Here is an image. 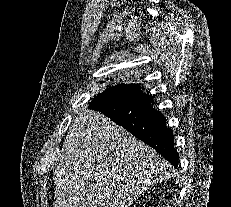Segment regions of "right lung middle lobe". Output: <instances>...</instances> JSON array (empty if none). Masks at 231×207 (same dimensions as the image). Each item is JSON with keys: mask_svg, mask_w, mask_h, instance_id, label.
I'll return each mask as SVG.
<instances>
[{"mask_svg": "<svg viewBox=\"0 0 231 207\" xmlns=\"http://www.w3.org/2000/svg\"><path fill=\"white\" fill-rule=\"evenodd\" d=\"M123 84H118L114 87L106 89L103 93H100V100L113 101L115 99H120L125 95L123 91ZM97 97V96H96Z\"/></svg>", "mask_w": 231, "mask_h": 207, "instance_id": "right-lung-middle-lobe-1", "label": "right lung middle lobe"}]
</instances>
